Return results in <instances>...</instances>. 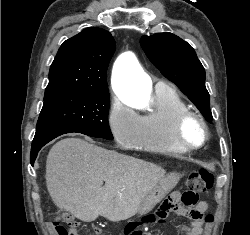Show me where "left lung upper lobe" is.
Instances as JSON below:
<instances>
[{
  "mask_svg": "<svg viewBox=\"0 0 250 235\" xmlns=\"http://www.w3.org/2000/svg\"><path fill=\"white\" fill-rule=\"evenodd\" d=\"M140 44L161 73L187 95L207 120H211L205 70L194 49L186 41L169 32L143 36Z\"/></svg>",
  "mask_w": 250,
  "mask_h": 235,
  "instance_id": "obj_1",
  "label": "left lung upper lobe"
}]
</instances>
